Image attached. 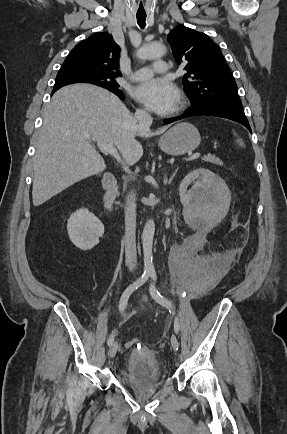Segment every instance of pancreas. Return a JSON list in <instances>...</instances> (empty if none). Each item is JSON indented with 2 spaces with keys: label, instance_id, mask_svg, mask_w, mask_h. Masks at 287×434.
Returning a JSON list of instances; mask_svg holds the SVG:
<instances>
[{
  "label": "pancreas",
  "instance_id": "cf45deb5",
  "mask_svg": "<svg viewBox=\"0 0 287 434\" xmlns=\"http://www.w3.org/2000/svg\"><path fill=\"white\" fill-rule=\"evenodd\" d=\"M202 160L216 164V165H222V161L219 158L212 156V155L204 156L202 158Z\"/></svg>",
  "mask_w": 287,
  "mask_h": 434
}]
</instances>
